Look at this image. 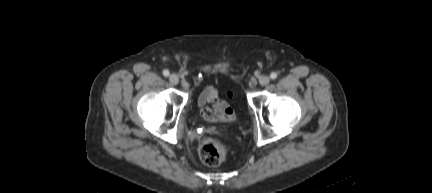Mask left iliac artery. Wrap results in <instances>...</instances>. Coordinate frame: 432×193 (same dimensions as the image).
Listing matches in <instances>:
<instances>
[{
  "label": "left iliac artery",
  "mask_w": 432,
  "mask_h": 193,
  "mask_svg": "<svg viewBox=\"0 0 432 193\" xmlns=\"http://www.w3.org/2000/svg\"><path fill=\"white\" fill-rule=\"evenodd\" d=\"M270 78H271L272 80L276 79V78H277V73H275V72L271 73V74H270Z\"/></svg>",
  "instance_id": "44dca946"
}]
</instances>
